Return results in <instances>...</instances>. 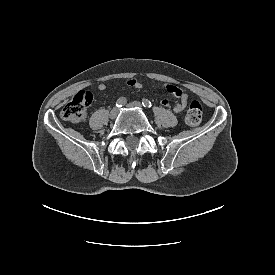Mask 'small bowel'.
<instances>
[{"mask_svg":"<svg viewBox=\"0 0 275 275\" xmlns=\"http://www.w3.org/2000/svg\"><path fill=\"white\" fill-rule=\"evenodd\" d=\"M127 85L129 87L137 88V89H140L143 86V84L135 78L128 79ZM97 89L100 91H103L106 89V87L104 84H100L97 86ZM165 89L168 93L172 94L176 98V102L173 105L174 111L177 113L182 112L188 104V94L185 93L181 88L175 85L166 84ZM161 104L164 105L165 107H171L170 103L166 99H163L161 101Z\"/></svg>","mask_w":275,"mask_h":275,"instance_id":"c3829d8e","label":"small bowel"}]
</instances>
